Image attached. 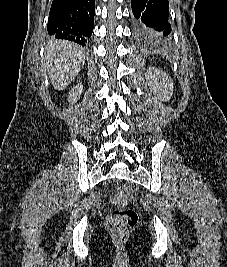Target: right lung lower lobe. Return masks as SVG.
<instances>
[{
  "instance_id": "obj_1",
  "label": "right lung lower lobe",
  "mask_w": 227,
  "mask_h": 267,
  "mask_svg": "<svg viewBox=\"0 0 227 267\" xmlns=\"http://www.w3.org/2000/svg\"><path fill=\"white\" fill-rule=\"evenodd\" d=\"M95 0H53L48 33L85 46L94 27Z\"/></svg>"
}]
</instances>
